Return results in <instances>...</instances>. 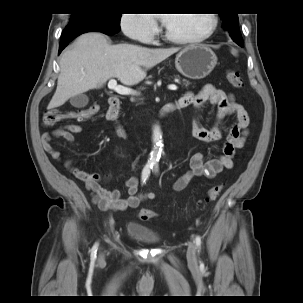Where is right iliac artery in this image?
<instances>
[{
	"mask_svg": "<svg viewBox=\"0 0 303 303\" xmlns=\"http://www.w3.org/2000/svg\"><path fill=\"white\" fill-rule=\"evenodd\" d=\"M152 169L151 165H146L142 171V176H141V181L142 183H145V181L148 179L149 175H150V170ZM97 250H98V242H96L91 250V260H95L96 259V255H97Z\"/></svg>",
	"mask_w": 303,
	"mask_h": 303,
	"instance_id": "1",
	"label": "right iliac artery"
}]
</instances>
